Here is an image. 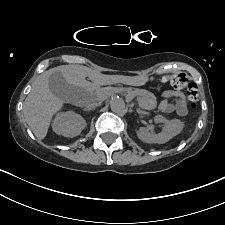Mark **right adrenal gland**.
<instances>
[{"instance_id":"right-adrenal-gland-1","label":"right adrenal gland","mask_w":225,"mask_h":225,"mask_svg":"<svg viewBox=\"0 0 225 225\" xmlns=\"http://www.w3.org/2000/svg\"><path fill=\"white\" fill-rule=\"evenodd\" d=\"M91 110H93V109L92 108H88V107L84 109V111H91Z\"/></svg>"}]
</instances>
